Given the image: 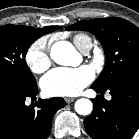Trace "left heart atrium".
<instances>
[{
	"label": "left heart atrium",
	"mask_w": 139,
	"mask_h": 139,
	"mask_svg": "<svg viewBox=\"0 0 139 139\" xmlns=\"http://www.w3.org/2000/svg\"><path fill=\"white\" fill-rule=\"evenodd\" d=\"M94 79L91 67H59L51 70L41 80L45 94L49 96H73L78 94Z\"/></svg>",
	"instance_id": "obj_1"
}]
</instances>
